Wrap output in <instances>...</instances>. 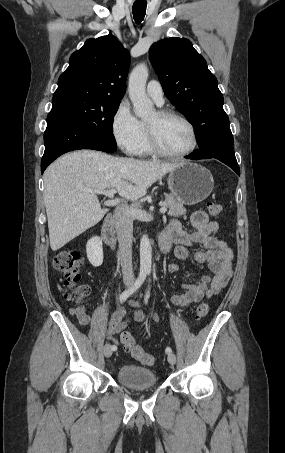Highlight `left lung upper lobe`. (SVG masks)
Returning <instances> with one entry per match:
<instances>
[{
	"label": "left lung upper lobe",
	"instance_id": "1",
	"mask_svg": "<svg viewBox=\"0 0 285 453\" xmlns=\"http://www.w3.org/2000/svg\"><path fill=\"white\" fill-rule=\"evenodd\" d=\"M149 54L166 97L193 125L199 147L233 142L217 79L192 43L166 38L154 43Z\"/></svg>",
	"mask_w": 285,
	"mask_h": 453
}]
</instances>
